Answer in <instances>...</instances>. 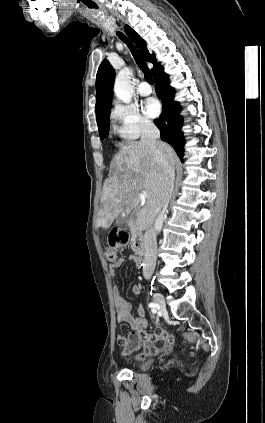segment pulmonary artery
Here are the masks:
<instances>
[{"label": "pulmonary artery", "mask_w": 265, "mask_h": 423, "mask_svg": "<svg viewBox=\"0 0 265 423\" xmlns=\"http://www.w3.org/2000/svg\"><path fill=\"white\" fill-rule=\"evenodd\" d=\"M137 91L140 95L147 96L152 93V87L146 81H142L138 85Z\"/></svg>", "instance_id": "pulmonary-artery-1"}]
</instances>
